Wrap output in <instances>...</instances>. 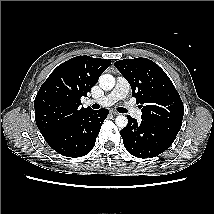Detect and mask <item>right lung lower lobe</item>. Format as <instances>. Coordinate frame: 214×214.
<instances>
[{"label": "right lung lower lobe", "mask_w": 214, "mask_h": 214, "mask_svg": "<svg viewBox=\"0 0 214 214\" xmlns=\"http://www.w3.org/2000/svg\"><path fill=\"white\" fill-rule=\"evenodd\" d=\"M109 114L107 109L89 110L45 139L56 152L66 157H81L94 147L102 123Z\"/></svg>", "instance_id": "98d812e1"}]
</instances>
